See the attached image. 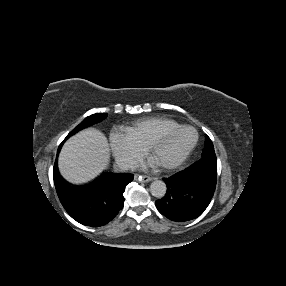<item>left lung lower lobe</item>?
<instances>
[{"mask_svg": "<svg viewBox=\"0 0 286 286\" xmlns=\"http://www.w3.org/2000/svg\"><path fill=\"white\" fill-rule=\"evenodd\" d=\"M163 180L167 184V192L155 202L159 212L178 222L195 219L205 211L215 191L216 155L204 156L183 171Z\"/></svg>", "mask_w": 286, "mask_h": 286, "instance_id": "left-lung-lower-lobe-1", "label": "left lung lower lobe"}]
</instances>
